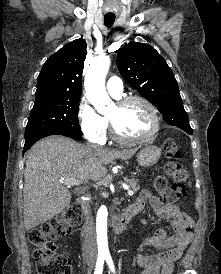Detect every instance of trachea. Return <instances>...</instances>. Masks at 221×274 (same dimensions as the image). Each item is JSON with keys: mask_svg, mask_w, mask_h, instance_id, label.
I'll list each match as a JSON object with an SVG mask.
<instances>
[{"mask_svg": "<svg viewBox=\"0 0 221 274\" xmlns=\"http://www.w3.org/2000/svg\"><path fill=\"white\" fill-rule=\"evenodd\" d=\"M115 21V16H107L104 17V24L106 27H111Z\"/></svg>", "mask_w": 221, "mask_h": 274, "instance_id": "obj_1", "label": "trachea"}]
</instances>
